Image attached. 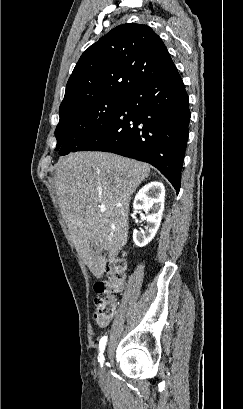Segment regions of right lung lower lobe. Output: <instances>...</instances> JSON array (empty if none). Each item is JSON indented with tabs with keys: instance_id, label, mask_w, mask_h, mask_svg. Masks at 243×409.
Wrapping results in <instances>:
<instances>
[{
	"instance_id": "right-lung-lower-lobe-1",
	"label": "right lung lower lobe",
	"mask_w": 243,
	"mask_h": 409,
	"mask_svg": "<svg viewBox=\"0 0 243 409\" xmlns=\"http://www.w3.org/2000/svg\"><path fill=\"white\" fill-rule=\"evenodd\" d=\"M189 120L188 95L176 70L134 89L111 122L72 152L105 151L150 163L178 193Z\"/></svg>"
}]
</instances>
